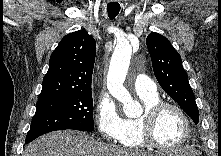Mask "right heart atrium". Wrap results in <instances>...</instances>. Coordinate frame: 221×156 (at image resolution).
<instances>
[{
  "label": "right heart atrium",
  "instance_id": "obj_1",
  "mask_svg": "<svg viewBox=\"0 0 221 156\" xmlns=\"http://www.w3.org/2000/svg\"><path fill=\"white\" fill-rule=\"evenodd\" d=\"M94 120L100 136L108 142L119 140L122 132V118L113 99L106 92L98 96Z\"/></svg>",
  "mask_w": 221,
  "mask_h": 156
}]
</instances>
